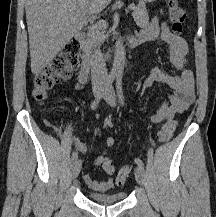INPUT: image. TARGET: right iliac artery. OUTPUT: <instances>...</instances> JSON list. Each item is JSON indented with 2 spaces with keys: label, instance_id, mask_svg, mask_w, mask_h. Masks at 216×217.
Here are the masks:
<instances>
[{
  "label": "right iliac artery",
  "instance_id": "right-iliac-artery-1",
  "mask_svg": "<svg viewBox=\"0 0 216 217\" xmlns=\"http://www.w3.org/2000/svg\"><path fill=\"white\" fill-rule=\"evenodd\" d=\"M115 75L114 74H110L108 76L107 82L105 84L104 90H103V94H101L99 97H97L92 103H91V109L94 110L97 108L99 102L101 101L103 95L111 88L112 83L115 80ZM78 157V152L74 151L72 154V161H75Z\"/></svg>",
  "mask_w": 216,
  "mask_h": 217
}]
</instances>
